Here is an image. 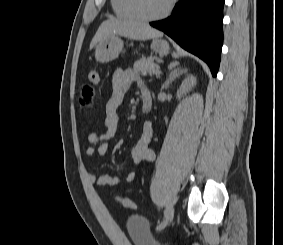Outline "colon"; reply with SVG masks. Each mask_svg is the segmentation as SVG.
Returning a JSON list of instances; mask_svg holds the SVG:
<instances>
[{"instance_id":"5ec220e1","label":"colon","mask_w":283,"mask_h":245,"mask_svg":"<svg viewBox=\"0 0 283 245\" xmlns=\"http://www.w3.org/2000/svg\"><path fill=\"white\" fill-rule=\"evenodd\" d=\"M99 80H100L99 72L96 69H91L88 73V82L87 83L89 84V86L91 88L96 86L99 83ZM80 101H81V104L83 106H85V107L87 106V103H86V100L84 99V96L80 97ZM117 200L124 208H127V209H135L136 208L135 202L128 197L118 196Z\"/></svg>"}]
</instances>
